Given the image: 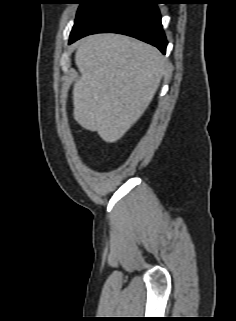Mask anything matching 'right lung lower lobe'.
Returning a JSON list of instances; mask_svg holds the SVG:
<instances>
[{
	"instance_id": "98d812e1",
	"label": "right lung lower lobe",
	"mask_w": 236,
	"mask_h": 321,
	"mask_svg": "<svg viewBox=\"0 0 236 321\" xmlns=\"http://www.w3.org/2000/svg\"><path fill=\"white\" fill-rule=\"evenodd\" d=\"M156 0H109L70 38L94 33H120L156 46L165 53L167 41Z\"/></svg>"
}]
</instances>
